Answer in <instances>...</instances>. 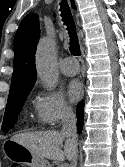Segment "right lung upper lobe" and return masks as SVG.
I'll use <instances>...</instances> for the list:
<instances>
[{
  "label": "right lung upper lobe",
  "instance_id": "1",
  "mask_svg": "<svg viewBox=\"0 0 125 167\" xmlns=\"http://www.w3.org/2000/svg\"><path fill=\"white\" fill-rule=\"evenodd\" d=\"M72 7L75 5L72 0ZM40 37L39 18L31 13L23 18L14 38V71L9 96L31 90L36 81L35 51Z\"/></svg>",
  "mask_w": 125,
  "mask_h": 167
}]
</instances>
